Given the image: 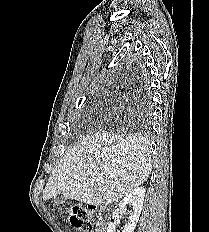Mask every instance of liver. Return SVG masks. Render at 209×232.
<instances>
[{"instance_id":"1","label":"liver","mask_w":209,"mask_h":232,"mask_svg":"<svg viewBox=\"0 0 209 232\" xmlns=\"http://www.w3.org/2000/svg\"><path fill=\"white\" fill-rule=\"evenodd\" d=\"M151 149L141 134L96 132L68 149L43 190V199L63 195L89 205L118 201L146 181Z\"/></svg>"}]
</instances>
